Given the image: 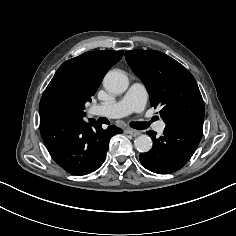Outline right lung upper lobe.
Wrapping results in <instances>:
<instances>
[{
    "label": "right lung upper lobe",
    "instance_id": "cb5924a9",
    "mask_svg": "<svg viewBox=\"0 0 236 236\" xmlns=\"http://www.w3.org/2000/svg\"><path fill=\"white\" fill-rule=\"evenodd\" d=\"M123 52L111 50L86 52L64 62L42 95L40 113L51 109L52 97L61 92L73 93L85 103L91 101V96L98 89L104 74L122 58Z\"/></svg>",
    "mask_w": 236,
    "mask_h": 236
}]
</instances>
